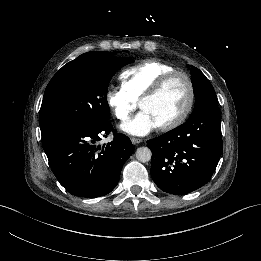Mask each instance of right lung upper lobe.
<instances>
[{
	"label": "right lung upper lobe",
	"mask_w": 261,
	"mask_h": 261,
	"mask_svg": "<svg viewBox=\"0 0 261 261\" xmlns=\"http://www.w3.org/2000/svg\"><path fill=\"white\" fill-rule=\"evenodd\" d=\"M112 54L113 53L102 52V51H92V52L84 53L82 55L109 56ZM39 123H40V128H45L49 124L48 112L46 109V103H45L44 99H43L42 106L40 109Z\"/></svg>",
	"instance_id": "obj_1"
}]
</instances>
